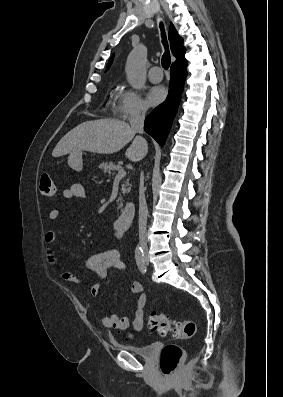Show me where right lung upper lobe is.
<instances>
[{
    "instance_id": "obj_1",
    "label": "right lung upper lobe",
    "mask_w": 283,
    "mask_h": 397,
    "mask_svg": "<svg viewBox=\"0 0 283 397\" xmlns=\"http://www.w3.org/2000/svg\"><path fill=\"white\" fill-rule=\"evenodd\" d=\"M169 40L171 43V51L176 57V61L174 63L184 61L185 48L183 46V39L178 35L173 24H171L169 28ZM112 59L113 57L109 60L107 67L112 63Z\"/></svg>"
}]
</instances>
